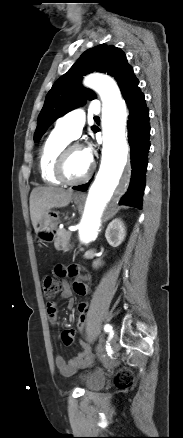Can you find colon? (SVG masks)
<instances>
[{
	"instance_id": "1",
	"label": "colon",
	"mask_w": 183,
	"mask_h": 438,
	"mask_svg": "<svg viewBox=\"0 0 183 438\" xmlns=\"http://www.w3.org/2000/svg\"><path fill=\"white\" fill-rule=\"evenodd\" d=\"M42 287L44 296L47 300H52L53 298H55L57 293L60 291L59 282L51 276H46L43 278ZM78 313L79 315L77 320V327L78 330L83 333L87 323V302L83 301L78 305ZM114 383L120 389L129 388L134 383V376L132 371L128 368L119 369L114 377Z\"/></svg>"
}]
</instances>
